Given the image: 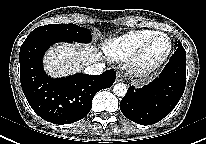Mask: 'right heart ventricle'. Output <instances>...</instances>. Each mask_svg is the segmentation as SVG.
I'll return each mask as SVG.
<instances>
[{
    "instance_id": "obj_1",
    "label": "right heart ventricle",
    "mask_w": 206,
    "mask_h": 144,
    "mask_svg": "<svg viewBox=\"0 0 206 144\" xmlns=\"http://www.w3.org/2000/svg\"><path fill=\"white\" fill-rule=\"evenodd\" d=\"M155 30L142 29L126 32L105 42L104 51L113 60L129 58Z\"/></svg>"
}]
</instances>
